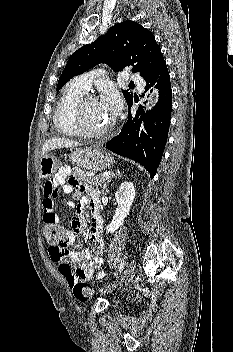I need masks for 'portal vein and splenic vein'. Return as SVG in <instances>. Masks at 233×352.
<instances>
[{
	"mask_svg": "<svg viewBox=\"0 0 233 352\" xmlns=\"http://www.w3.org/2000/svg\"><path fill=\"white\" fill-rule=\"evenodd\" d=\"M112 174L110 173V172H105V173H103V176H105V177H108L109 178V176H111Z\"/></svg>",
	"mask_w": 233,
	"mask_h": 352,
	"instance_id": "18ae733b",
	"label": "portal vein and splenic vein"
}]
</instances>
